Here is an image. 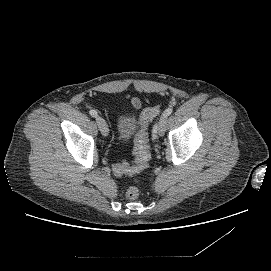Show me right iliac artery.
<instances>
[{
  "mask_svg": "<svg viewBox=\"0 0 271 271\" xmlns=\"http://www.w3.org/2000/svg\"><path fill=\"white\" fill-rule=\"evenodd\" d=\"M90 115L92 116V117H97L98 116V113H97V111L96 110H90Z\"/></svg>",
  "mask_w": 271,
  "mask_h": 271,
  "instance_id": "obj_1",
  "label": "right iliac artery"
}]
</instances>
